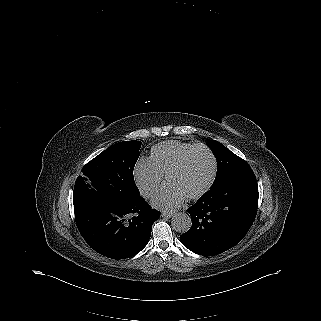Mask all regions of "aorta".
<instances>
[{
	"instance_id": "762f6f07",
	"label": "aorta",
	"mask_w": 321,
	"mask_h": 321,
	"mask_svg": "<svg viewBox=\"0 0 321 321\" xmlns=\"http://www.w3.org/2000/svg\"><path fill=\"white\" fill-rule=\"evenodd\" d=\"M172 227L178 233H186L192 226L190 215L186 213H176L172 217Z\"/></svg>"
}]
</instances>
